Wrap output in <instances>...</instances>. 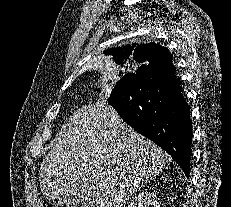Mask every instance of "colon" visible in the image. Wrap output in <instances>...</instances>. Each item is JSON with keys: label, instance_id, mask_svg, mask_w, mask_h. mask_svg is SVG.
<instances>
[{"label": "colon", "instance_id": "1", "mask_svg": "<svg viewBox=\"0 0 231 207\" xmlns=\"http://www.w3.org/2000/svg\"><path fill=\"white\" fill-rule=\"evenodd\" d=\"M39 207H75L60 200L43 199L39 203Z\"/></svg>", "mask_w": 231, "mask_h": 207}]
</instances>
